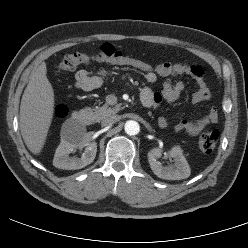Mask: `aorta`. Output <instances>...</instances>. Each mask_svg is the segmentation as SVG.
Returning a JSON list of instances; mask_svg holds the SVG:
<instances>
[{
	"label": "aorta",
	"mask_w": 248,
	"mask_h": 248,
	"mask_svg": "<svg viewBox=\"0 0 248 248\" xmlns=\"http://www.w3.org/2000/svg\"><path fill=\"white\" fill-rule=\"evenodd\" d=\"M124 129L128 135L132 136V135H136L139 133L140 126L138 122L134 120H129L125 123Z\"/></svg>",
	"instance_id": "1"
}]
</instances>
